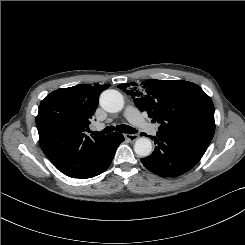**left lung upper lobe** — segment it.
<instances>
[{
  "label": "left lung upper lobe",
  "instance_id": "left-lung-upper-lobe-1",
  "mask_svg": "<svg viewBox=\"0 0 245 245\" xmlns=\"http://www.w3.org/2000/svg\"><path fill=\"white\" fill-rule=\"evenodd\" d=\"M134 99L140 111L157 121L159 131L192 135L211 142L214 106L211 98L196 84L183 80H146L141 84H119Z\"/></svg>",
  "mask_w": 245,
  "mask_h": 245
}]
</instances>
